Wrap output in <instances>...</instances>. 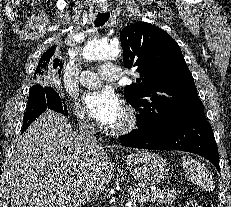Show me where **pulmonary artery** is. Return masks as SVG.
I'll use <instances>...</instances> for the list:
<instances>
[{
    "instance_id": "e3ab8cb5",
    "label": "pulmonary artery",
    "mask_w": 231,
    "mask_h": 207,
    "mask_svg": "<svg viewBox=\"0 0 231 207\" xmlns=\"http://www.w3.org/2000/svg\"><path fill=\"white\" fill-rule=\"evenodd\" d=\"M121 77L120 68L115 64H103L97 71L85 70L80 75V83L86 87H94L102 80L116 81Z\"/></svg>"
}]
</instances>
